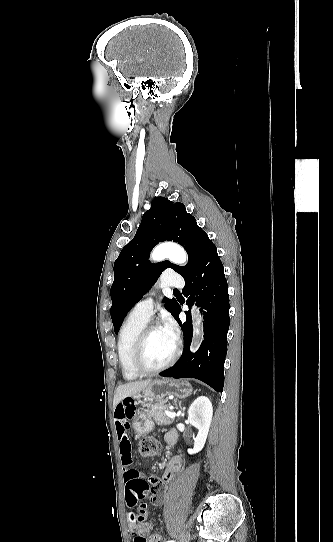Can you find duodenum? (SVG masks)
Returning <instances> with one entry per match:
<instances>
[{
	"mask_svg": "<svg viewBox=\"0 0 333 542\" xmlns=\"http://www.w3.org/2000/svg\"><path fill=\"white\" fill-rule=\"evenodd\" d=\"M166 441L169 443V444H173L175 441H176V434L175 433H168L166 435Z\"/></svg>",
	"mask_w": 333,
	"mask_h": 542,
	"instance_id": "1",
	"label": "duodenum"
}]
</instances>
